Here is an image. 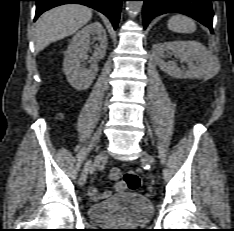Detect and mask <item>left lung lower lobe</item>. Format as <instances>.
<instances>
[{
    "label": "left lung lower lobe",
    "mask_w": 234,
    "mask_h": 231,
    "mask_svg": "<svg viewBox=\"0 0 234 231\" xmlns=\"http://www.w3.org/2000/svg\"><path fill=\"white\" fill-rule=\"evenodd\" d=\"M144 1V28L156 16L165 13H182L188 15L213 32V10L211 1L214 0H142Z\"/></svg>",
    "instance_id": "0a47b994"
}]
</instances>
